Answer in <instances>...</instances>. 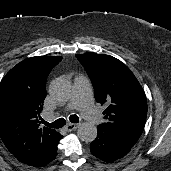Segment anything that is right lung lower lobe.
I'll use <instances>...</instances> for the list:
<instances>
[{"mask_svg": "<svg viewBox=\"0 0 171 171\" xmlns=\"http://www.w3.org/2000/svg\"><path fill=\"white\" fill-rule=\"evenodd\" d=\"M62 138V135H59L56 142L52 145L48 153L40 160L32 164L35 167H42L50 163L57 155V142Z\"/></svg>", "mask_w": 171, "mask_h": 171, "instance_id": "right-lung-lower-lobe-1", "label": "right lung lower lobe"}]
</instances>
